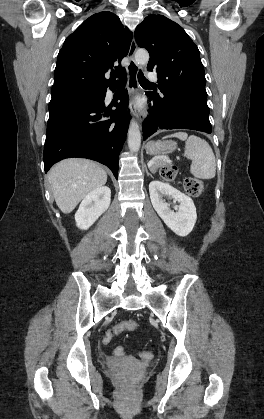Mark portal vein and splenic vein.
Instances as JSON below:
<instances>
[{
  "label": "portal vein and splenic vein",
  "mask_w": 264,
  "mask_h": 419,
  "mask_svg": "<svg viewBox=\"0 0 264 419\" xmlns=\"http://www.w3.org/2000/svg\"><path fill=\"white\" fill-rule=\"evenodd\" d=\"M164 161H168L167 159H163Z\"/></svg>",
  "instance_id": "18ae733b"
}]
</instances>
